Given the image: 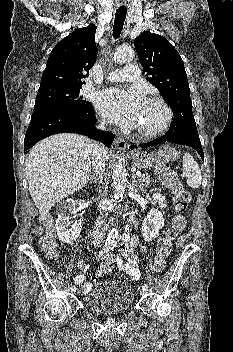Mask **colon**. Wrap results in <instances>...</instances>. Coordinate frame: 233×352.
Listing matches in <instances>:
<instances>
[{"label":"colon","mask_w":233,"mask_h":352,"mask_svg":"<svg viewBox=\"0 0 233 352\" xmlns=\"http://www.w3.org/2000/svg\"><path fill=\"white\" fill-rule=\"evenodd\" d=\"M176 156V151L171 148H163L157 154L156 173L162 184L172 189L177 214L173 217L171 226L166 234L157 243L155 254L150 261V270L154 273H159L164 269L166 260L172 250L173 240L187 225V220L183 213L187 210L191 197L183 188L182 184L179 182L178 176L171 168V163ZM39 246L49 258H55L57 256L58 246L55 241V229L51 222L45 224V233L39 239ZM113 264L114 258L111 255H107L101 261L94 276L101 277L111 270Z\"/></svg>","instance_id":"5ec220e1"}]
</instances>
